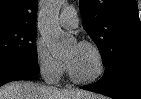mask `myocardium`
I'll return each mask as SVG.
<instances>
[{"instance_id":"myocardium-1","label":"myocardium","mask_w":141,"mask_h":99,"mask_svg":"<svg viewBox=\"0 0 141 99\" xmlns=\"http://www.w3.org/2000/svg\"><path fill=\"white\" fill-rule=\"evenodd\" d=\"M79 46L87 47L94 52V54L97 58V61H98V69H97V71L94 75L87 77V78H81V77H78L74 74V72L72 71L69 63L66 61V67H67L68 75H69L70 79L74 83H77V84L94 83L97 80H99L105 72V59H104L103 53L95 43L90 42V41H81L79 43Z\"/></svg>"}]
</instances>
